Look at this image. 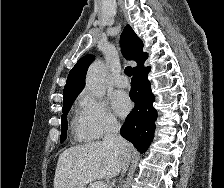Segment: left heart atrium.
Returning a JSON list of instances; mask_svg holds the SVG:
<instances>
[{
    "label": "left heart atrium",
    "instance_id": "left-heart-atrium-1",
    "mask_svg": "<svg viewBox=\"0 0 224 188\" xmlns=\"http://www.w3.org/2000/svg\"><path fill=\"white\" fill-rule=\"evenodd\" d=\"M112 107L116 114L124 117L131 110L132 104L127 94L123 92H117L112 98Z\"/></svg>",
    "mask_w": 224,
    "mask_h": 188
}]
</instances>
